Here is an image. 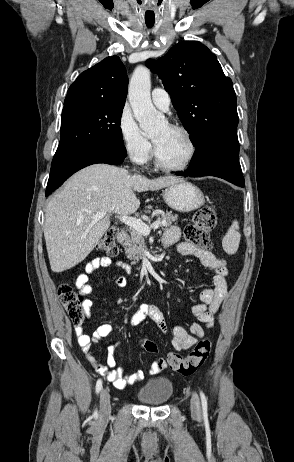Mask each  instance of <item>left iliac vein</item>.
I'll return each mask as SVG.
<instances>
[{
  "label": "left iliac vein",
  "instance_id": "1",
  "mask_svg": "<svg viewBox=\"0 0 294 462\" xmlns=\"http://www.w3.org/2000/svg\"><path fill=\"white\" fill-rule=\"evenodd\" d=\"M191 410L195 415H199L201 412L200 402L197 394H193L191 398Z\"/></svg>",
  "mask_w": 294,
  "mask_h": 462
}]
</instances>
